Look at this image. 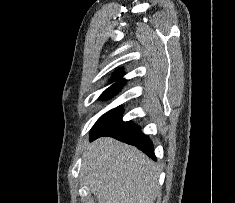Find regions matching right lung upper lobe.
Masks as SVG:
<instances>
[{
  "mask_svg": "<svg viewBox=\"0 0 235 203\" xmlns=\"http://www.w3.org/2000/svg\"><path fill=\"white\" fill-rule=\"evenodd\" d=\"M113 80H118L113 86L123 85L126 82V80L122 78V73L121 72H116L113 76Z\"/></svg>",
  "mask_w": 235,
  "mask_h": 203,
  "instance_id": "cb5924a9",
  "label": "right lung upper lobe"
}]
</instances>
